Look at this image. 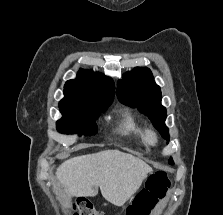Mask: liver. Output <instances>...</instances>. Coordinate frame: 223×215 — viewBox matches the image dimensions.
<instances>
[{
	"mask_svg": "<svg viewBox=\"0 0 223 215\" xmlns=\"http://www.w3.org/2000/svg\"><path fill=\"white\" fill-rule=\"evenodd\" d=\"M151 171L148 163L131 153L105 149L66 159L57 167L56 177L67 195H97L99 185L107 201L124 205Z\"/></svg>",
	"mask_w": 223,
	"mask_h": 215,
	"instance_id": "6515ba94",
	"label": "liver"
}]
</instances>
